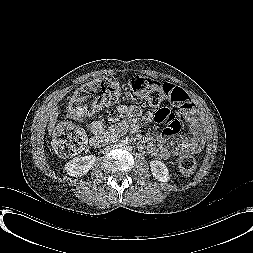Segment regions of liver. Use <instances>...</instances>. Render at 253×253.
<instances>
[{"instance_id":"obj_1","label":"liver","mask_w":253,"mask_h":253,"mask_svg":"<svg viewBox=\"0 0 253 253\" xmlns=\"http://www.w3.org/2000/svg\"><path fill=\"white\" fill-rule=\"evenodd\" d=\"M57 117H58V109L55 107L51 114H50V120L48 124V132L51 133L55 127V124L57 122Z\"/></svg>"}]
</instances>
